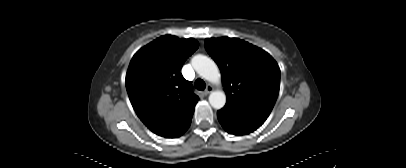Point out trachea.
<instances>
[{"label":"trachea","instance_id":"obj_1","mask_svg":"<svg viewBox=\"0 0 406 168\" xmlns=\"http://www.w3.org/2000/svg\"><path fill=\"white\" fill-rule=\"evenodd\" d=\"M195 88L198 90H204L206 88V84L202 79H197L195 81Z\"/></svg>","mask_w":406,"mask_h":168}]
</instances>
